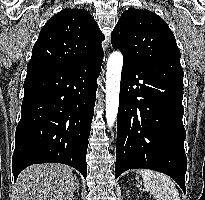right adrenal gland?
<instances>
[{"mask_svg": "<svg viewBox=\"0 0 205 200\" xmlns=\"http://www.w3.org/2000/svg\"><path fill=\"white\" fill-rule=\"evenodd\" d=\"M76 190L79 191V181L76 179Z\"/></svg>", "mask_w": 205, "mask_h": 200, "instance_id": "right-adrenal-gland-1", "label": "right adrenal gland"}]
</instances>
